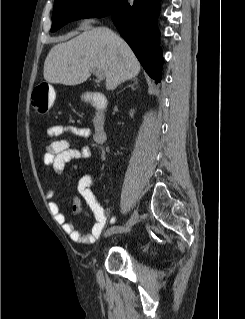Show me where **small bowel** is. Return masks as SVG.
<instances>
[{"mask_svg":"<svg viewBox=\"0 0 245 319\" xmlns=\"http://www.w3.org/2000/svg\"><path fill=\"white\" fill-rule=\"evenodd\" d=\"M63 134H70L79 137L81 140H87L92 137V131L87 127H78L74 125H56L47 130V146L44 154V164L58 175L64 173L67 163L73 160H86L90 157V149L83 146L79 149L70 146L67 140L58 139ZM96 177L86 174L76 179V187L81 196L87 201L94 216L95 223L90 233H83L77 229L75 223L69 221L65 213L62 212L60 205L51 201L49 207L56 217V220L62 225L64 231L70 236L71 240L81 244H93L103 234L109 223H113L115 218L111 216L107 206H103L91 191L95 184ZM54 192L51 189L44 191V196L51 199ZM72 211L79 216H85L87 213L83 209L78 197L72 198Z\"/></svg>","mask_w":245,"mask_h":319,"instance_id":"c3829d8e","label":"small bowel"}]
</instances>
